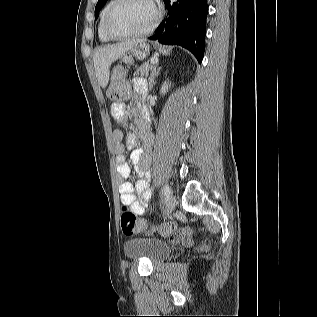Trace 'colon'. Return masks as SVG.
<instances>
[{"label":"colon","instance_id":"1","mask_svg":"<svg viewBox=\"0 0 317 317\" xmlns=\"http://www.w3.org/2000/svg\"><path fill=\"white\" fill-rule=\"evenodd\" d=\"M129 94V83L126 77V71L122 67H115L107 88V96L114 104H121ZM120 223L122 232L125 235H132L145 227L144 221L138 219L135 214L126 207L122 208ZM163 235L171 236L176 232L173 224L163 225L159 228Z\"/></svg>","mask_w":317,"mask_h":317}]
</instances>
